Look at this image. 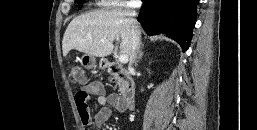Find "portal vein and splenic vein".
I'll return each instance as SVG.
<instances>
[{
	"mask_svg": "<svg viewBox=\"0 0 257 130\" xmlns=\"http://www.w3.org/2000/svg\"><path fill=\"white\" fill-rule=\"evenodd\" d=\"M103 42H105V40H103ZM119 61L121 63H127L128 62V57L126 55H120L119 56Z\"/></svg>",
	"mask_w": 257,
	"mask_h": 130,
	"instance_id": "1",
	"label": "portal vein and splenic vein"
}]
</instances>
